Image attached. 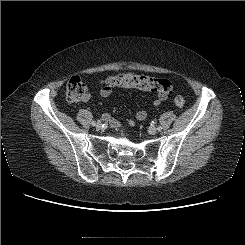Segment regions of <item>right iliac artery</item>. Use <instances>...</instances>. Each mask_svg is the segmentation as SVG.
Returning <instances> with one entry per match:
<instances>
[{
	"mask_svg": "<svg viewBox=\"0 0 245 245\" xmlns=\"http://www.w3.org/2000/svg\"><path fill=\"white\" fill-rule=\"evenodd\" d=\"M98 122H100V121H98ZM93 126L96 124V122L95 121H92V123H91Z\"/></svg>",
	"mask_w": 245,
	"mask_h": 245,
	"instance_id": "82829eb1",
	"label": "right iliac artery"
}]
</instances>
